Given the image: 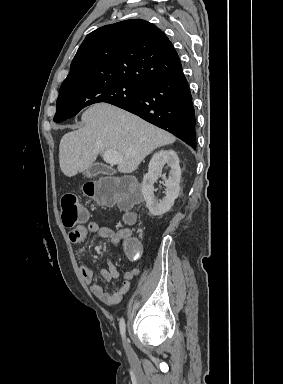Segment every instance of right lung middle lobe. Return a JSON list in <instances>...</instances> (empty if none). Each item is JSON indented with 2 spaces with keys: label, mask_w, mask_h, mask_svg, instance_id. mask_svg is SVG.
I'll return each instance as SVG.
<instances>
[{
  "label": "right lung middle lobe",
  "mask_w": 283,
  "mask_h": 384,
  "mask_svg": "<svg viewBox=\"0 0 283 384\" xmlns=\"http://www.w3.org/2000/svg\"><path fill=\"white\" fill-rule=\"evenodd\" d=\"M141 91L142 86L123 80L60 88L54 121L67 120L94 103L107 102L114 105L135 99Z\"/></svg>",
  "instance_id": "dd1d6c3e"
}]
</instances>
